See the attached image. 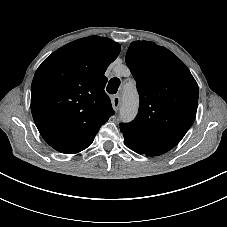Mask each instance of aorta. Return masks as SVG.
<instances>
[{"label":"aorta","mask_w":227,"mask_h":227,"mask_svg":"<svg viewBox=\"0 0 227 227\" xmlns=\"http://www.w3.org/2000/svg\"><path fill=\"white\" fill-rule=\"evenodd\" d=\"M138 95L136 90H128L124 94L123 105L120 110V116L125 121H130L137 113Z\"/></svg>","instance_id":"1"}]
</instances>
